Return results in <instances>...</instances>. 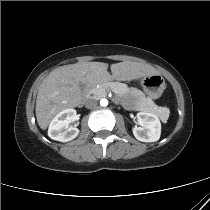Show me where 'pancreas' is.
<instances>
[{"instance_id":"pancreas-1","label":"pancreas","mask_w":210,"mask_h":210,"mask_svg":"<svg viewBox=\"0 0 210 210\" xmlns=\"http://www.w3.org/2000/svg\"><path fill=\"white\" fill-rule=\"evenodd\" d=\"M108 90L113 91L117 95H124L127 93H133L136 94L140 99L137 104L136 109L144 112H151V113H157L158 112V106L154 104V102L145 97L144 93L136 88H129L124 83L119 82H108L105 84H100L98 86H95L91 89V93L96 98H102L107 95Z\"/></svg>"}]
</instances>
